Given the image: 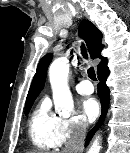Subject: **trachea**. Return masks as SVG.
<instances>
[{
    "instance_id": "1",
    "label": "trachea",
    "mask_w": 130,
    "mask_h": 153,
    "mask_svg": "<svg viewBox=\"0 0 130 153\" xmlns=\"http://www.w3.org/2000/svg\"><path fill=\"white\" fill-rule=\"evenodd\" d=\"M81 54L83 55V57L85 59H88V55H87V51H86V48L85 46L82 44L81 45ZM87 73H88V77L93 80V81H97V78H96V74H95V70L93 67H90L88 70H87Z\"/></svg>"
}]
</instances>
